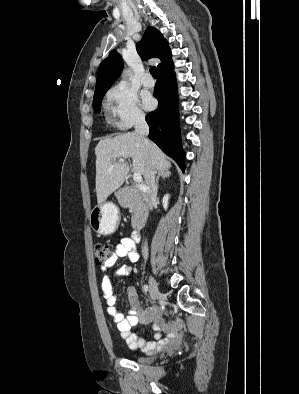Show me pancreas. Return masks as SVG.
Segmentation results:
<instances>
[{
  "label": "pancreas",
  "mask_w": 299,
  "mask_h": 394,
  "mask_svg": "<svg viewBox=\"0 0 299 394\" xmlns=\"http://www.w3.org/2000/svg\"><path fill=\"white\" fill-rule=\"evenodd\" d=\"M117 195H121L123 197L122 205L124 207H128L132 213V227L134 229H139L141 225L138 223L140 219L145 217V213L147 211L144 199L141 194L132 188H124Z\"/></svg>",
  "instance_id": "1"
}]
</instances>
